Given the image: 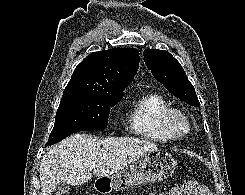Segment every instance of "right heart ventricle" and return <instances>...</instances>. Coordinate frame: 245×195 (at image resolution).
<instances>
[{
	"mask_svg": "<svg viewBox=\"0 0 245 195\" xmlns=\"http://www.w3.org/2000/svg\"><path fill=\"white\" fill-rule=\"evenodd\" d=\"M170 108L168 101L156 92L138 95L126 112V130L129 134L158 142L170 139L161 129L160 117Z\"/></svg>",
	"mask_w": 245,
	"mask_h": 195,
	"instance_id": "e07e8e85",
	"label": "right heart ventricle"
}]
</instances>
